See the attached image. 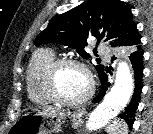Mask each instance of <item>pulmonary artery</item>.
Returning <instances> with one entry per match:
<instances>
[{
    "label": "pulmonary artery",
    "mask_w": 153,
    "mask_h": 134,
    "mask_svg": "<svg viewBox=\"0 0 153 134\" xmlns=\"http://www.w3.org/2000/svg\"><path fill=\"white\" fill-rule=\"evenodd\" d=\"M98 50H99V52L100 53H102V54H104V53H106V48H105V46H103V45H100L99 47H98Z\"/></svg>",
    "instance_id": "1"
}]
</instances>
